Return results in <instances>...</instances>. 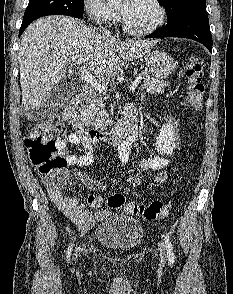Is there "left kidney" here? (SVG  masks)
<instances>
[{
  "label": "left kidney",
  "instance_id": "5707ae66",
  "mask_svg": "<svg viewBox=\"0 0 233 294\" xmlns=\"http://www.w3.org/2000/svg\"><path fill=\"white\" fill-rule=\"evenodd\" d=\"M176 122L173 118L167 117L166 123L160 129V134L156 140L157 151L160 154L171 155L176 148L177 133Z\"/></svg>",
  "mask_w": 233,
  "mask_h": 294
}]
</instances>
